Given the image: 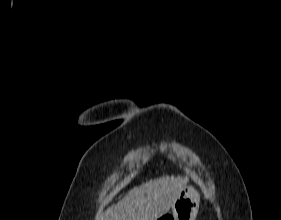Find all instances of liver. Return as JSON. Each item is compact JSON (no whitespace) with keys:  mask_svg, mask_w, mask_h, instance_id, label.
Listing matches in <instances>:
<instances>
[{"mask_svg":"<svg viewBox=\"0 0 281 220\" xmlns=\"http://www.w3.org/2000/svg\"><path fill=\"white\" fill-rule=\"evenodd\" d=\"M188 178L162 176L131 189L95 220H157L165 215L187 186Z\"/></svg>","mask_w":281,"mask_h":220,"instance_id":"6515ba94","label":"liver"}]
</instances>
